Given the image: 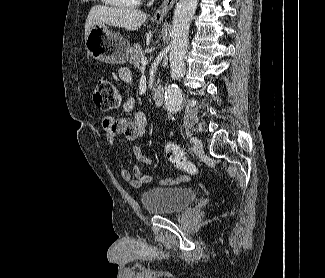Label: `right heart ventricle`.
<instances>
[{"instance_id":"e07e8e85","label":"right heart ventricle","mask_w":325,"mask_h":278,"mask_svg":"<svg viewBox=\"0 0 325 278\" xmlns=\"http://www.w3.org/2000/svg\"><path fill=\"white\" fill-rule=\"evenodd\" d=\"M106 5L116 8H136L141 0H102Z\"/></svg>"}]
</instances>
